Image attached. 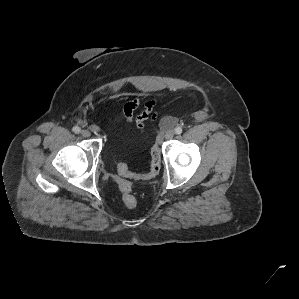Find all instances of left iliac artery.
<instances>
[{
  "label": "left iliac artery",
  "mask_w": 299,
  "mask_h": 299,
  "mask_svg": "<svg viewBox=\"0 0 299 299\" xmlns=\"http://www.w3.org/2000/svg\"><path fill=\"white\" fill-rule=\"evenodd\" d=\"M182 131H183V130H182V127H180V126H178V127L175 128V133H176V134H181Z\"/></svg>",
  "instance_id": "obj_1"
}]
</instances>
